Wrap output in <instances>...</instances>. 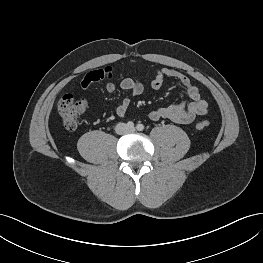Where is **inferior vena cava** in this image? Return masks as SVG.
Wrapping results in <instances>:
<instances>
[{
	"mask_svg": "<svg viewBox=\"0 0 263 263\" xmlns=\"http://www.w3.org/2000/svg\"><path fill=\"white\" fill-rule=\"evenodd\" d=\"M115 130H116L117 134H124V133L128 132V128H127L126 124H124V123H119L116 126Z\"/></svg>",
	"mask_w": 263,
	"mask_h": 263,
	"instance_id": "602c4592",
	"label": "inferior vena cava"
}]
</instances>
